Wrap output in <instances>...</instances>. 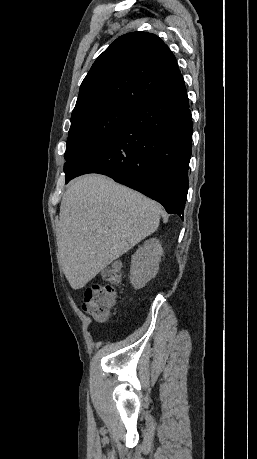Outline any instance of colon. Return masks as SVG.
<instances>
[{"label":"colon","mask_w":257,"mask_h":459,"mask_svg":"<svg viewBox=\"0 0 257 459\" xmlns=\"http://www.w3.org/2000/svg\"><path fill=\"white\" fill-rule=\"evenodd\" d=\"M122 274L121 265L115 263L105 268L103 275L109 284H93L84 294L83 309L86 313L104 319L116 302L115 285L120 282Z\"/></svg>","instance_id":"colon-1"}]
</instances>
